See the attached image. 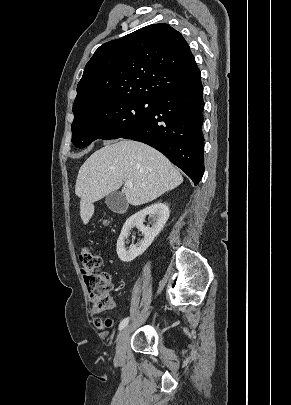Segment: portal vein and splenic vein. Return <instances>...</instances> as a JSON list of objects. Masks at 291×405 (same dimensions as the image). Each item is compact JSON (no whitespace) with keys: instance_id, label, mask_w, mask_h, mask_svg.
Returning <instances> with one entry per match:
<instances>
[{"instance_id":"1","label":"portal vein and splenic vein","mask_w":291,"mask_h":405,"mask_svg":"<svg viewBox=\"0 0 291 405\" xmlns=\"http://www.w3.org/2000/svg\"><path fill=\"white\" fill-rule=\"evenodd\" d=\"M124 184H125L126 187H132L133 186V183L130 180L125 181Z\"/></svg>"}]
</instances>
